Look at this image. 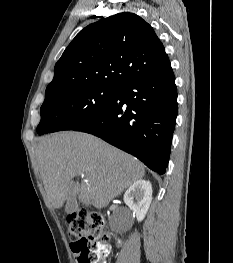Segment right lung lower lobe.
<instances>
[{
	"instance_id": "obj_1",
	"label": "right lung lower lobe",
	"mask_w": 233,
	"mask_h": 263,
	"mask_svg": "<svg viewBox=\"0 0 233 263\" xmlns=\"http://www.w3.org/2000/svg\"><path fill=\"white\" fill-rule=\"evenodd\" d=\"M177 110V88L170 67L159 75L119 86L108 107L72 130L96 135L164 174Z\"/></svg>"
}]
</instances>
